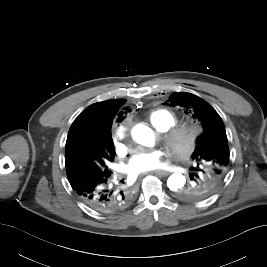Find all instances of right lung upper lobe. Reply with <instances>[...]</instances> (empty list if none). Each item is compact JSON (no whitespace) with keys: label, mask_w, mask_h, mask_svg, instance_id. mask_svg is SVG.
<instances>
[{"label":"right lung upper lobe","mask_w":267,"mask_h":267,"mask_svg":"<svg viewBox=\"0 0 267 267\" xmlns=\"http://www.w3.org/2000/svg\"><path fill=\"white\" fill-rule=\"evenodd\" d=\"M125 102L124 99H115L90 105L75 119L68 137H71L76 131L84 130L92 133L99 140L106 138L107 135L111 134V126L115 116L120 115L119 120L123 118L121 116L123 112L119 114L118 112Z\"/></svg>","instance_id":"obj_1"}]
</instances>
